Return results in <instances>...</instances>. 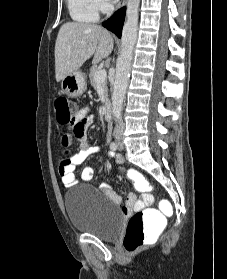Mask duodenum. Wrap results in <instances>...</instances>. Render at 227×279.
<instances>
[{
    "label": "duodenum",
    "mask_w": 227,
    "mask_h": 279,
    "mask_svg": "<svg viewBox=\"0 0 227 279\" xmlns=\"http://www.w3.org/2000/svg\"><path fill=\"white\" fill-rule=\"evenodd\" d=\"M103 114L107 120H110L112 117V107L110 105L105 106L103 110Z\"/></svg>",
    "instance_id": "1"
}]
</instances>
